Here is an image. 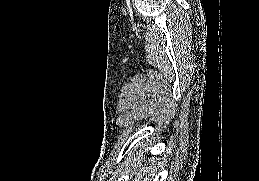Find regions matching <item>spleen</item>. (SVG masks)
Returning <instances> with one entry per match:
<instances>
[{"mask_svg": "<svg viewBox=\"0 0 259 181\" xmlns=\"http://www.w3.org/2000/svg\"><path fill=\"white\" fill-rule=\"evenodd\" d=\"M148 169H149V168L143 167V165H142L141 162H138L137 164H135V168H134V171H135V172H134V173H135V175H136L137 177H136V179H135L134 181H140V178H142V175H144L145 172H149ZM153 172H154V171L151 170L152 175H153ZM144 181H145V180H144Z\"/></svg>", "mask_w": 259, "mask_h": 181, "instance_id": "3e777b00", "label": "spleen"}]
</instances>
